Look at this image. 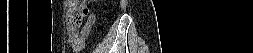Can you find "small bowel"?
I'll return each instance as SVG.
<instances>
[{
	"mask_svg": "<svg viewBox=\"0 0 253 53\" xmlns=\"http://www.w3.org/2000/svg\"><path fill=\"white\" fill-rule=\"evenodd\" d=\"M94 23L95 15L91 13L81 29L69 25L66 26L68 42L74 50L79 51L84 47L86 38L88 37Z\"/></svg>",
	"mask_w": 253,
	"mask_h": 53,
	"instance_id": "c3829d8e",
	"label": "small bowel"
}]
</instances>
